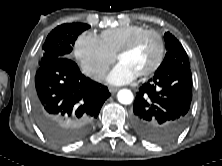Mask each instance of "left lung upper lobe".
I'll return each instance as SVG.
<instances>
[{
    "label": "left lung upper lobe",
    "instance_id": "left-lung-upper-lobe-1",
    "mask_svg": "<svg viewBox=\"0 0 222 166\" xmlns=\"http://www.w3.org/2000/svg\"><path fill=\"white\" fill-rule=\"evenodd\" d=\"M164 39L167 52L156 74L174 68H190L188 56L181 43L169 32L165 33Z\"/></svg>",
    "mask_w": 222,
    "mask_h": 166
}]
</instances>
